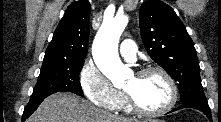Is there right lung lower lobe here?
<instances>
[{
    "label": "right lung lower lobe",
    "instance_id": "1",
    "mask_svg": "<svg viewBox=\"0 0 221 122\" xmlns=\"http://www.w3.org/2000/svg\"><path fill=\"white\" fill-rule=\"evenodd\" d=\"M45 97L41 98H36V99H30L29 103L24 109L23 116H22V121H25L40 105V103L44 100Z\"/></svg>",
    "mask_w": 221,
    "mask_h": 122
}]
</instances>
